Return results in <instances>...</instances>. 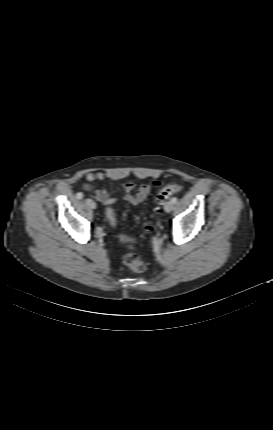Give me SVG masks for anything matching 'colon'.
<instances>
[{"label": "colon", "instance_id": "colon-1", "mask_svg": "<svg viewBox=\"0 0 273 430\" xmlns=\"http://www.w3.org/2000/svg\"><path fill=\"white\" fill-rule=\"evenodd\" d=\"M180 187L178 184H170L162 188L154 197V202L157 206H160L165 203L167 199L176 194L179 191ZM106 216L112 225H115V213L112 208H107ZM145 231L150 233L153 231V227L151 225L145 226ZM124 263L132 270L141 272L145 269V265L139 255L135 251V247L133 245H129L127 247V251L123 256Z\"/></svg>", "mask_w": 273, "mask_h": 430}]
</instances>
